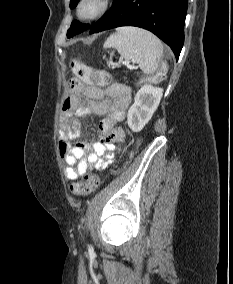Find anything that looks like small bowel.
<instances>
[{
  "mask_svg": "<svg viewBox=\"0 0 233 284\" xmlns=\"http://www.w3.org/2000/svg\"><path fill=\"white\" fill-rule=\"evenodd\" d=\"M130 101V89L123 84L102 89L78 78L69 81L62 105L65 127L59 144L67 179H77L91 166L103 170L113 162L116 146L124 139L123 130L116 124L124 119ZM89 113L103 116L99 139L72 144L70 141L80 136V118Z\"/></svg>",
  "mask_w": 233,
  "mask_h": 284,
  "instance_id": "obj_1",
  "label": "small bowel"
}]
</instances>
